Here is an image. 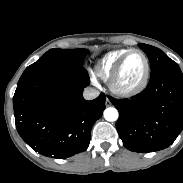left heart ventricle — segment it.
Wrapping results in <instances>:
<instances>
[{
  "instance_id": "1",
  "label": "left heart ventricle",
  "mask_w": 183,
  "mask_h": 183,
  "mask_svg": "<svg viewBox=\"0 0 183 183\" xmlns=\"http://www.w3.org/2000/svg\"><path fill=\"white\" fill-rule=\"evenodd\" d=\"M144 61L138 53H132L126 59L120 77L119 83L122 86L130 87L135 85L143 75Z\"/></svg>"
}]
</instances>
